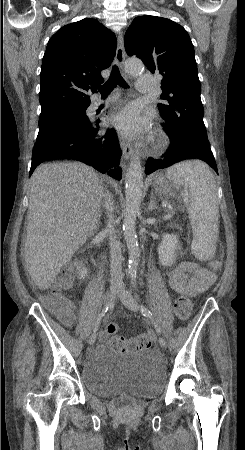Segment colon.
<instances>
[{"label":"colon","instance_id":"obj_1","mask_svg":"<svg viewBox=\"0 0 245 450\" xmlns=\"http://www.w3.org/2000/svg\"><path fill=\"white\" fill-rule=\"evenodd\" d=\"M210 265L214 269H219L221 267V259L213 258L210 261ZM73 278L74 274L65 273L54 280L46 291L43 300L45 306L65 325H71L73 322V305L62 292L70 287ZM191 309L192 303L187 297L180 296L175 300L174 311L179 319L187 320L190 316ZM117 330L118 326L114 323H110L106 327V331L110 335L109 343L115 350L139 351L148 348L151 344V338L148 335L142 334L127 341L125 338L115 335Z\"/></svg>","mask_w":245,"mask_h":450}]
</instances>
